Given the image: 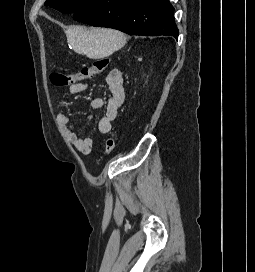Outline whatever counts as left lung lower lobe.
<instances>
[{"instance_id": "obj_1", "label": "left lung lower lobe", "mask_w": 255, "mask_h": 272, "mask_svg": "<svg viewBox=\"0 0 255 272\" xmlns=\"http://www.w3.org/2000/svg\"><path fill=\"white\" fill-rule=\"evenodd\" d=\"M73 19L129 35H170L178 39L174 8L168 0H93Z\"/></svg>"}]
</instances>
